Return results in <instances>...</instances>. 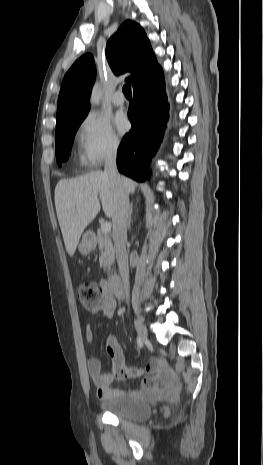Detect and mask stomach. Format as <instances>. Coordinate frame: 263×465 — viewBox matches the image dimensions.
I'll return each instance as SVG.
<instances>
[{"instance_id":"0dacf381","label":"stomach","mask_w":263,"mask_h":465,"mask_svg":"<svg viewBox=\"0 0 263 465\" xmlns=\"http://www.w3.org/2000/svg\"><path fill=\"white\" fill-rule=\"evenodd\" d=\"M96 247V239L93 235L92 232H86L79 245H78V250L82 255H88L90 254Z\"/></svg>"}]
</instances>
